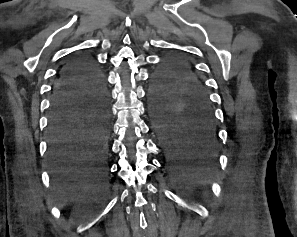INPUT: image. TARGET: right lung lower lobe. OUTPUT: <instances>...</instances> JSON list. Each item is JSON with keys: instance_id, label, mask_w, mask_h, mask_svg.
I'll use <instances>...</instances> for the list:
<instances>
[{"instance_id": "1", "label": "right lung lower lobe", "mask_w": 297, "mask_h": 237, "mask_svg": "<svg viewBox=\"0 0 297 237\" xmlns=\"http://www.w3.org/2000/svg\"><path fill=\"white\" fill-rule=\"evenodd\" d=\"M108 95L101 72L88 56L67 63L54 84L48 157L55 173L108 171Z\"/></svg>"}]
</instances>
